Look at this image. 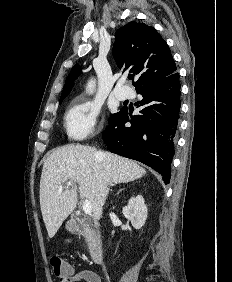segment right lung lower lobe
Instances as JSON below:
<instances>
[{"mask_svg":"<svg viewBox=\"0 0 232 282\" xmlns=\"http://www.w3.org/2000/svg\"><path fill=\"white\" fill-rule=\"evenodd\" d=\"M136 91L143 96L140 114L129 118L131 111L123 108L109 119L103 140L110 152L150 166L169 184L181 106L179 74L149 81Z\"/></svg>","mask_w":232,"mask_h":282,"instance_id":"obj_1","label":"right lung lower lobe"}]
</instances>
